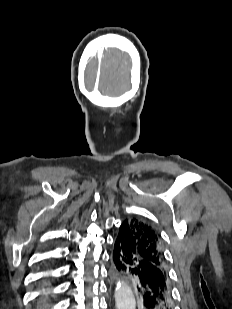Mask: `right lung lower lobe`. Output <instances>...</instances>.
Instances as JSON below:
<instances>
[{
	"mask_svg": "<svg viewBox=\"0 0 232 309\" xmlns=\"http://www.w3.org/2000/svg\"><path fill=\"white\" fill-rule=\"evenodd\" d=\"M40 306H42V307L48 306V300L47 299H42L41 303H40Z\"/></svg>",
	"mask_w": 232,
	"mask_h": 309,
	"instance_id": "98d812e1",
	"label": "right lung lower lobe"
}]
</instances>
